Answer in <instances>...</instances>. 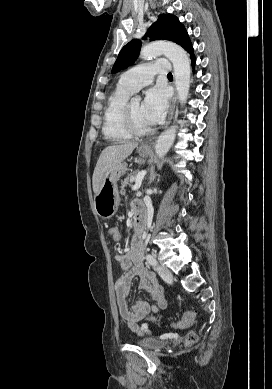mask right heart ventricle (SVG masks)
I'll use <instances>...</instances> for the list:
<instances>
[{
    "instance_id": "right-heart-ventricle-1",
    "label": "right heart ventricle",
    "mask_w": 272,
    "mask_h": 389,
    "mask_svg": "<svg viewBox=\"0 0 272 389\" xmlns=\"http://www.w3.org/2000/svg\"><path fill=\"white\" fill-rule=\"evenodd\" d=\"M133 92L118 83L108 98L104 112L103 133L111 141H124L131 138L123 123L124 108Z\"/></svg>"
}]
</instances>
